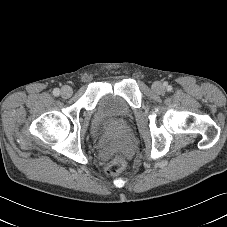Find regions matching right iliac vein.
<instances>
[{"label":"right iliac vein","mask_w":227,"mask_h":227,"mask_svg":"<svg viewBox=\"0 0 227 227\" xmlns=\"http://www.w3.org/2000/svg\"><path fill=\"white\" fill-rule=\"evenodd\" d=\"M61 95L64 98H68L72 95V89L69 86H64L61 90Z\"/></svg>","instance_id":"right-iliac-vein-1"}]
</instances>
